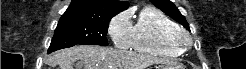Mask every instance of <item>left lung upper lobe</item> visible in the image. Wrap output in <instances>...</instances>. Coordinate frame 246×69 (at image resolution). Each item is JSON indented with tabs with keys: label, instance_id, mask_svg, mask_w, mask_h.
<instances>
[{
	"label": "left lung upper lobe",
	"instance_id": "1",
	"mask_svg": "<svg viewBox=\"0 0 246 69\" xmlns=\"http://www.w3.org/2000/svg\"><path fill=\"white\" fill-rule=\"evenodd\" d=\"M157 8L172 17L174 20L182 24L186 29L190 30L189 25L177 7L170 0H150Z\"/></svg>",
	"mask_w": 246,
	"mask_h": 69
}]
</instances>
